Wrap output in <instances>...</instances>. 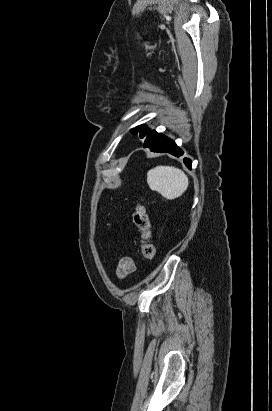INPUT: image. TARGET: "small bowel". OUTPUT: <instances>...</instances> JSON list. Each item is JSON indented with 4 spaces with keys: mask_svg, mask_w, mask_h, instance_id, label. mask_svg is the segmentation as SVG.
<instances>
[{
    "mask_svg": "<svg viewBox=\"0 0 272 411\" xmlns=\"http://www.w3.org/2000/svg\"><path fill=\"white\" fill-rule=\"evenodd\" d=\"M136 270L135 262L131 257H123L120 259L117 266V276L124 279Z\"/></svg>",
    "mask_w": 272,
    "mask_h": 411,
    "instance_id": "small-bowel-1",
    "label": "small bowel"
}]
</instances>
